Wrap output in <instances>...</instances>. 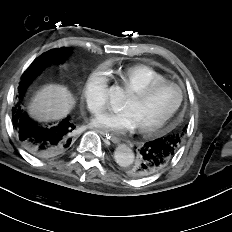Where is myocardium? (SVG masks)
Returning <instances> with one entry per match:
<instances>
[{
  "label": "myocardium",
  "mask_w": 232,
  "mask_h": 232,
  "mask_svg": "<svg viewBox=\"0 0 232 232\" xmlns=\"http://www.w3.org/2000/svg\"><path fill=\"white\" fill-rule=\"evenodd\" d=\"M167 86H174L178 89L179 91V99L176 102V104L173 106V108L168 112V114L166 116H164L161 120H159L158 122L148 125V126H143V127H138V132L149 136L152 135L154 133H156L157 131L163 129L164 127H166L168 125V123L173 119V117L175 116V114L179 111V109L181 108L183 101H184V97H185V92L183 87L173 81H162V82H154L151 84H148L140 89L137 90H133L130 92V94L139 99V100H143L145 98H147L149 95H151L153 92H155L156 90L163 88V87H167Z\"/></svg>",
  "instance_id": "obj_1"
}]
</instances>
